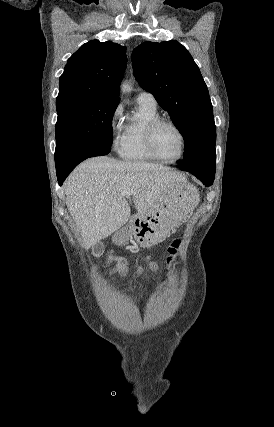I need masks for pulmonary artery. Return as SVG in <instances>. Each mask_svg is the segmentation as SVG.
<instances>
[{
    "label": "pulmonary artery",
    "instance_id": "e3ab8cb5",
    "mask_svg": "<svg viewBox=\"0 0 274 427\" xmlns=\"http://www.w3.org/2000/svg\"><path fill=\"white\" fill-rule=\"evenodd\" d=\"M137 102L139 106H145L154 109H156L157 107V102L154 96L148 92L139 93L137 96Z\"/></svg>",
    "mask_w": 274,
    "mask_h": 427
}]
</instances>
